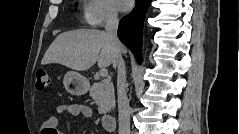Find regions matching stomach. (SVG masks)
<instances>
[{
    "mask_svg": "<svg viewBox=\"0 0 239 134\" xmlns=\"http://www.w3.org/2000/svg\"><path fill=\"white\" fill-rule=\"evenodd\" d=\"M65 89L72 95H83L88 91V80L78 72L69 71L63 79Z\"/></svg>",
    "mask_w": 239,
    "mask_h": 134,
    "instance_id": "0dacf381",
    "label": "stomach"
}]
</instances>
